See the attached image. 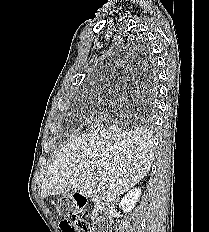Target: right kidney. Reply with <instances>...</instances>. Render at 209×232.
<instances>
[{
    "label": "right kidney",
    "mask_w": 209,
    "mask_h": 232,
    "mask_svg": "<svg viewBox=\"0 0 209 232\" xmlns=\"http://www.w3.org/2000/svg\"><path fill=\"white\" fill-rule=\"evenodd\" d=\"M140 195V188H134L130 190L121 200L119 207L125 212H131L134 209L136 203L138 202Z\"/></svg>",
    "instance_id": "1"
}]
</instances>
